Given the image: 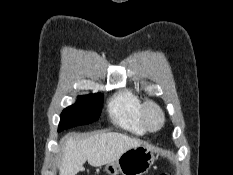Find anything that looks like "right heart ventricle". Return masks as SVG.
I'll return each instance as SVG.
<instances>
[{
	"instance_id": "obj_1",
	"label": "right heart ventricle",
	"mask_w": 233,
	"mask_h": 175,
	"mask_svg": "<svg viewBox=\"0 0 233 175\" xmlns=\"http://www.w3.org/2000/svg\"><path fill=\"white\" fill-rule=\"evenodd\" d=\"M142 97L132 90H122L112 96L108 102V114L111 120L121 128L141 135L147 132L142 118Z\"/></svg>"
}]
</instances>
